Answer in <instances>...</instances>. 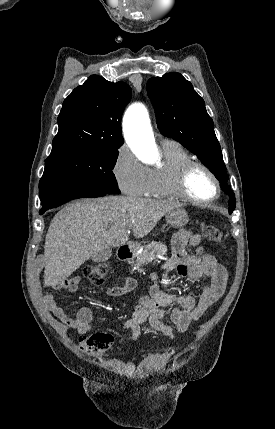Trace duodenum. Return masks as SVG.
Here are the masks:
<instances>
[{
	"label": "duodenum",
	"mask_w": 275,
	"mask_h": 429,
	"mask_svg": "<svg viewBox=\"0 0 275 429\" xmlns=\"http://www.w3.org/2000/svg\"><path fill=\"white\" fill-rule=\"evenodd\" d=\"M134 247L132 244L122 245L118 250V256L122 261L129 260L133 255Z\"/></svg>",
	"instance_id": "1"
}]
</instances>
